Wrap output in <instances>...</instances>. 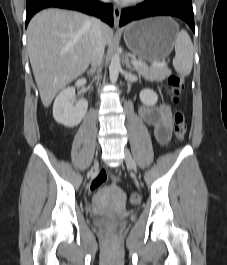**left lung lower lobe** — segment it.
<instances>
[{
	"mask_svg": "<svg viewBox=\"0 0 227 265\" xmlns=\"http://www.w3.org/2000/svg\"><path fill=\"white\" fill-rule=\"evenodd\" d=\"M159 15L178 17L194 31L192 0H145L136 7L122 10L120 26L132 20Z\"/></svg>",
	"mask_w": 227,
	"mask_h": 265,
	"instance_id": "left-lung-lower-lobe-1",
	"label": "left lung lower lobe"
}]
</instances>
